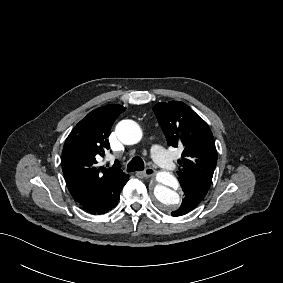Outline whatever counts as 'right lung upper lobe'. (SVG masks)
<instances>
[{
  "label": "right lung upper lobe",
  "instance_id": "obj_1",
  "mask_svg": "<svg viewBox=\"0 0 283 283\" xmlns=\"http://www.w3.org/2000/svg\"><path fill=\"white\" fill-rule=\"evenodd\" d=\"M125 111L121 105L100 107L87 114L66 139L62 152V170L68 190L75 201L99 193L127 175L119 162L112 168L97 167L96 157L110 148L108 133L116 118Z\"/></svg>",
  "mask_w": 283,
  "mask_h": 283
}]
</instances>
